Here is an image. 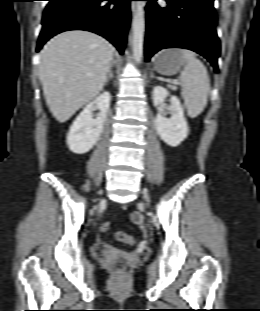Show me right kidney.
Returning <instances> with one entry per match:
<instances>
[{
	"instance_id": "right-kidney-1",
	"label": "right kidney",
	"mask_w": 260,
	"mask_h": 311,
	"mask_svg": "<svg viewBox=\"0 0 260 311\" xmlns=\"http://www.w3.org/2000/svg\"><path fill=\"white\" fill-rule=\"evenodd\" d=\"M110 100V93L105 91L77 116L67 135V145L73 153H87L97 143L107 118ZM95 108H98L100 113L93 119L92 112Z\"/></svg>"
}]
</instances>
